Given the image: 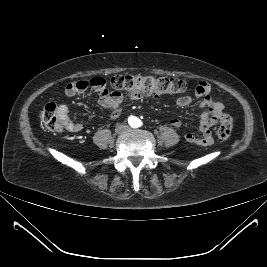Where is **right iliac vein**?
I'll use <instances>...</instances> for the list:
<instances>
[{
	"mask_svg": "<svg viewBox=\"0 0 267 267\" xmlns=\"http://www.w3.org/2000/svg\"><path fill=\"white\" fill-rule=\"evenodd\" d=\"M122 130H123V129H122V128H120L118 131H119V132H121Z\"/></svg>",
	"mask_w": 267,
	"mask_h": 267,
	"instance_id": "1",
	"label": "right iliac vein"
}]
</instances>
